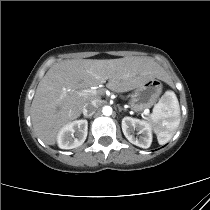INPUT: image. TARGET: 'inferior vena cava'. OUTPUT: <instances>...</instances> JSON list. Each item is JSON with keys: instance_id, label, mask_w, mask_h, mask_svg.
I'll list each match as a JSON object with an SVG mask.
<instances>
[{"instance_id": "inferior-vena-cava-1", "label": "inferior vena cava", "mask_w": 210, "mask_h": 210, "mask_svg": "<svg viewBox=\"0 0 210 210\" xmlns=\"http://www.w3.org/2000/svg\"><path fill=\"white\" fill-rule=\"evenodd\" d=\"M97 108H98V103L96 101H91L84 105L82 112L84 116H92Z\"/></svg>"}]
</instances>
